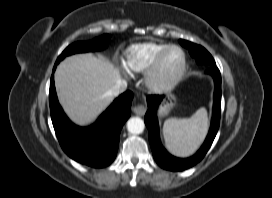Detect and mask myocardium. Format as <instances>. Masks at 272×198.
<instances>
[{
	"mask_svg": "<svg viewBox=\"0 0 272 198\" xmlns=\"http://www.w3.org/2000/svg\"><path fill=\"white\" fill-rule=\"evenodd\" d=\"M177 49L182 53L183 63L177 74L170 78H164L161 75V69L163 65V61L167 54L171 51ZM188 68L187 55L183 48L177 45H170L165 48L155 59L151 67L147 70L144 83L146 87L155 93H160L164 91H168L175 87L184 77Z\"/></svg>",
	"mask_w": 272,
	"mask_h": 198,
	"instance_id": "obj_1",
	"label": "myocardium"
}]
</instances>
